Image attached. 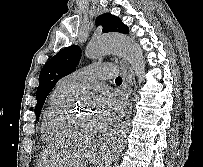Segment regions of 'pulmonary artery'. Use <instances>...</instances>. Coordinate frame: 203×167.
Wrapping results in <instances>:
<instances>
[{"label":"pulmonary artery","instance_id":"pulmonary-artery-1","mask_svg":"<svg viewBox=\"0 0 203 167\" xmlns=\"http://www.w3.org/2000/svg\"><path fill=\"white\" fill-rule=\"evenodd\" d=\"M118 68L111 64H93L85 66L65 76L61 81L74 89L94 86L100 79L114 77Z\"/></svg>","mask_w":203,"mask_h":167}]
</instances>
